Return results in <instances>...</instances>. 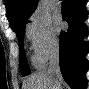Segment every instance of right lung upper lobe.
I'll return each mask as SVG.
<instances>
[{
  "label": "right lung upper lobe",
  "mask_w": 89,
  "mask_h": 89,
  "mask_svg": "<svg viewBox=\"0 0 89 89\" xmlns=\"http://www.w3.org/2000/svg\"><path fill=\"white\" fill-rule=\"evenodd\" d=\"M6 16L14 29L20 22L27 20L37 6V0H5Z\"/></svg>",
  "instance_id": "obj_1"
}]
</instances>
